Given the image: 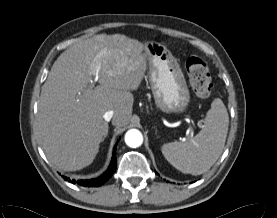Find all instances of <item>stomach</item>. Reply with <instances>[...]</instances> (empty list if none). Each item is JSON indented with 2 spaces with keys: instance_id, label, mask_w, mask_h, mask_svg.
I'll use <instances>...</instances> for the list:
<instances>
[{
  "instance_id": "1",
  "label": "stomach",
  "mask_w": 277,
  "mask_h": 218,
  "mask_svg": "<svg viewBox=\"0 0 277 218\" xmlns=\"http://www.w3.org/2000/svg\"><path fill=\"white\" fill-rule=\"evenodd\" d=\"M156 107L162 112L183 113L190 102L184 74L172 53L162 44L148 42L144 53Z\"/></svg>"
}]
</instances>
